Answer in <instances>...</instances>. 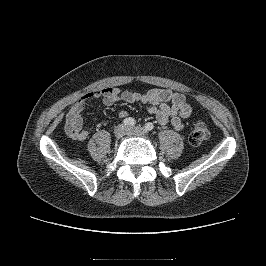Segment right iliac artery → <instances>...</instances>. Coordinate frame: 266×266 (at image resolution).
I'll return each instance as SVG.
<instances>
[{"instance_id": "1", "label": "right iliac artery", "mask_w": 266, "mask_h": 266, "mask_svg": "<svg viewBox=\"0 0 266 266\" xmlns=\"http://www.w3.org/2000/svg\"><path fill=\"white\" fill-rule=\"evenodd\" d=\"M123 123L127 126H134L136 124V121L134 118L132 117H128L126 119L123 120Z\"/></svg>"}]
</instances>
